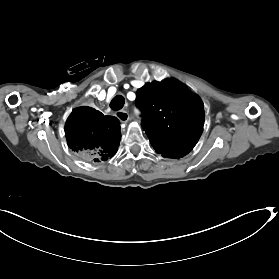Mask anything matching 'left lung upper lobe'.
I'll return each instance as SVG.
<instances>
[{
	"label": "left lung upper lobe",
	"instance_id": "left-lung-upper-lobe-1",
	"mask_svg": "<svg viewBox=\"0 0 279 279\" xmlns=\"http://www.w3.org/2000/svg\"><path fill=\"white\" fill-rule=\"evenodd\" d=\"M141 126L163 157L179 159L198 142L204 124L202 102L173 79L145 84L136 93Z\"/></svg>",
	"mask_w": 279,
	"mask_h": 279
}]
</instances>
